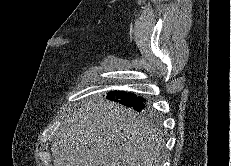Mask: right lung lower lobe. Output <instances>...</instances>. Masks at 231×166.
<instances>
[{
	"mask_svg": "<svg viewBox=\"0 0 231 166\" xmlns=\"http://www.w3.org/2000/svg\"><path fill=\"white\" fill-rule=\"evenodd\" d=\"M106 98L114 102H119L127 107H131L136 111H142L147 107L146 99L131 92L110 91L107 93Z\"/></svg>",
	"mask_w": 231,
	"mask_h": 166,
	"instance_id": "1",
	"label": "right lung lower lobe"
}]
</instances>
